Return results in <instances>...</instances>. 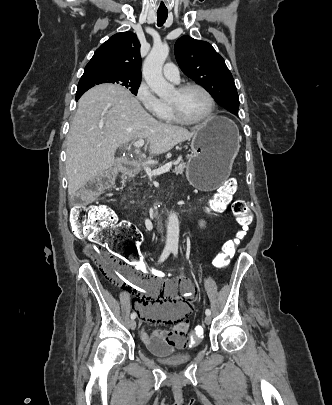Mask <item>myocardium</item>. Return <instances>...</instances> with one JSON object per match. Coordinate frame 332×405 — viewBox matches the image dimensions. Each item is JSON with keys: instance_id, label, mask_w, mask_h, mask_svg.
I'll use <instances>...</instances> for the list:
<instances>
[{"instance_id": "1", "label": "myocardium", "mask_w": 332, "mask_h": 405, "mask_svg": "<svg viewBox=\"0 0 332 405\" xmlns=\"http://www.w3.org/2000/svg\"><path fill=\"white\" fill-rule=\"evenodd\" d=\"M189 89H198L201 92H203L205 94V96L207 97L208 101H209V110L208 112L201 118L196 119V120H189L187 118H185L181 111L180 108L178 107L177 104L175 103H169V107L172 111V114L174 116V118L176 119L177 122L182 123V124H186V125H199V124H203L205 122H207L208 120H210L212 118V116L214 115L215 112V100L214 97L212 96V94L210 93V91L205 88L203 85L198 84V83H185L180 85L179 87H177L176 91L178 93H184L185 91L189 90Z\"/></svg>"}]
</instances>
